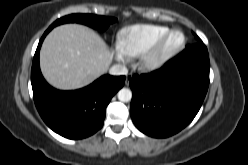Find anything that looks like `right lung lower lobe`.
Instances as JSON below:
<instances>
[{"instance_id":"obj_1","label":"right lung lower lobe","mask_w":248,"mask_h":165,"mask_svg":"<svg viewBox=\"0 0 248 165\" xmlns=\"http://www.w3.org/2000/svg\"><path fill=\"white\" fill-rule=\"evenodd\" d=\"M49 27L39 41L32 70L31 83L36 108L54 132L69 139H82L97 132L104 123L106 107L121 89L125 76L104 75L89 86L75 91H60L44 80L39 67V51Z\"/></svg>"}]
</instances>
